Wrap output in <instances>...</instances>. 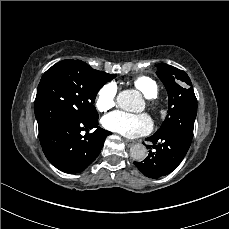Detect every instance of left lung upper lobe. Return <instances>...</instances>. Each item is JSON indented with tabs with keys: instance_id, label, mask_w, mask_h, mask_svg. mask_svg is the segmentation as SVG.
<instances>
[{
	"instance_id": "1",
	"label": "left lung upper lobe",
	"mask_w": 229,
	"mask_h": 229,
	"mask_svg": "<svg viewBox=\"0 0 229 229\" xmlns=\"http://www.w3.org/2000/svg\"><path fill=\"white\" fill-rule=\"evenodd\" d=\"M157 76L168 92V115L156 133L193 137L197 99L188 75L165 63L155 65Z\"/></svg>"
}]
</instances>
